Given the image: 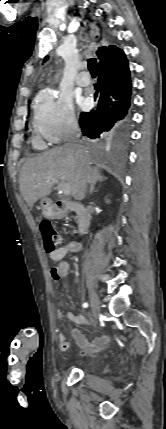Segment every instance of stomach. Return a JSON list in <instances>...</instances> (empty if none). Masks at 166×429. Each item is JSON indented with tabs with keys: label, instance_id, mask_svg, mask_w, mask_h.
<instances>
[{
	"label": "stomach",
	"instance_id": "obj_1",
	"mask_svg": "<svg viewBox=\"0 0 166 429\" xmlns=\"http://www.w3.org/2000/svg\"><path fill=\"white\" fill-rule=\"evenodd\" d=\"M40 208L42 210V214L47 218H54L57 215L52 201L48 198L41 199Z\"/></svg>",
	"mask_w": 166,
	"mask_h": 429
}]
</instances>
